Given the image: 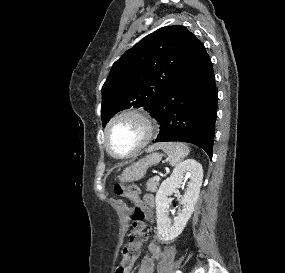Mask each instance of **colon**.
<instances>
[{"label": "colon", "mask_w": 285, "mask_h": 273, "mask_svg": "<svg viewBox=\"0 0 285 273\" xmlns=\"http://www.w3.org/2000/svg\"><path fill=\"white\" fill-rule=\"evenodd\" d=\"M115 194L130 199L132 208L131 219L134 230L128 235L126 244L121 251V258L115 268L114 273H130L135 261L140 255L141 244L144 239V227L149 216L148 205L138 196V188L133 185L123 186L116 184L114 187Z\"/></svg>", "instance_id": "5ec220e1"}]
</instances>
